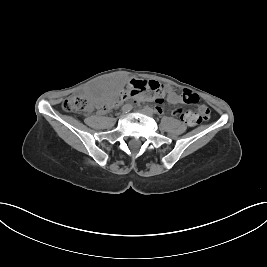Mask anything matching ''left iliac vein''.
I'll return each mask as SVG.
<instances>
[{
	"label": "left iliac vein",
	"mask_w": 267,
	"mask_h": 267,
	"mask_svg": "<svg viewBox=\"0 0 267 267\" xmlns=\"http://www.w3.org/2000/svg\"><path fill=\"white\" fill-rule=\"evenodd\" d=\"M140 113L147 115V116H152L153 114H151L149 111H147L145 108L140 110Z\"/></svg>",
	"instance_id": "obj_1"
}]
</instances>
